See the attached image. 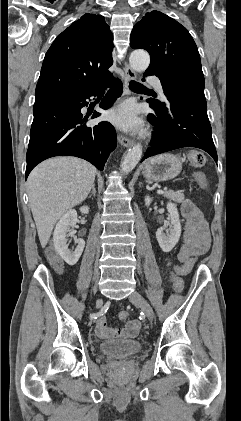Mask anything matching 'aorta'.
<instances>
[{
  "label": "aorta",
  "mask_w": 241,
  "mask_h": 421,
  "mask_svg": "<svg viewBox=\"0 0 241 421\" xmlns=\"http://www.w3.org/2000/svg\"><path fill=\"white\" fill-rule=\"evenodd\" d=\"M129 62L132 69L136 72L145 71L150 64V56L147 51L144 50H134L130 57ZM142 157V146L140 144L134 145L129 149L126 156L121 163V171L124 174L131 172L135 166L138 164Z\"/></svg>",
  "instance_id": "aorta-1"
}]
</instances>
